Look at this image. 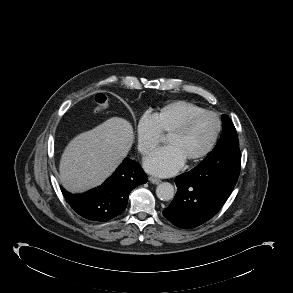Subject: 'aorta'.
<instances>
[{"mask_svg":"<svg viewBox=\"0 0 293 293\" xmlns=\"http://www.w3.org/2000/svg\"><path fill=\"white\" fill-rule=\"evenodd\" d=\"M156 195L160 200L169 201L174 198L175 189L172 184L163 182L157 186Z\"/></svg>","mask_w":293,"mask_h":293,"instance_id":"aorta-1","label":"aorta"}]
</instances>
